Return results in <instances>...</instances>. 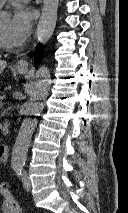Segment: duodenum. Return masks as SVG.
Masks as SVG:
<instances>
[{"instance_id": "1", "label": "duodenum", "mask_w": 128, "mask_h": 213, "mask_svg": "<svg viewBox=\"0 0 128 213\" xmlns=\"http://www.w3.org/2000/svg\"><path fill=\"white\" fill-rule=\"evenodd\" d=\"M9 157V147L6 144H0V160L7 161Z\"/></svg>"}]
</instances>
